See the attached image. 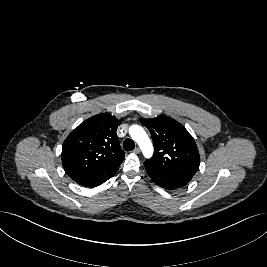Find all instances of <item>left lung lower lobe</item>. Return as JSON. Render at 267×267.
<instances>
[{"instance_id":"0a47b994","label":"left lung lower lobe","mask_w":267,"mask_h":267,"mask_svg":"<svg viewBox=\"0 0 267 267\" xmlns=\"http://www.w3.org/2000/svg\"><path fill=\"white\" fill-rule=\"evenodd\" d=\"M146 171L150 178L156 183L158 186L165 188V189H176L182 186H185L189 180L176 177L173 175H168L154 169H151L147 164H145Z\"/></svg>"}]
</instances>
